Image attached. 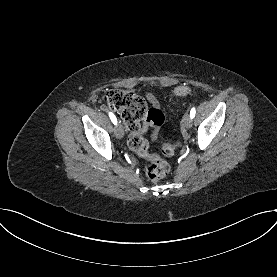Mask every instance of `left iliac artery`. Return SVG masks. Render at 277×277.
<instances>
[{
    "mask_svg": "<svg viewBox=\"0 0 277 277\" xmlns=\"http://www.w3.org/2000/svg\"><path fill=\"white\" fill-rule=\"evenodd\" d=\"M195 113H196V110L195 108L193 107L191 110H190V117L193 119L195 117Z\"/></svg>",
    "mask_w": 277,
    "mask_h": 277,
    "instance_id": "left-iliac-artery-1",
    "label": "left iliac artery"
}]
</instances>
